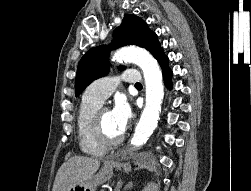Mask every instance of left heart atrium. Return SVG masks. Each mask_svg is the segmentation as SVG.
Wrapping results in <instances>:
<instances>
[{
  "mask_svg": "<svg viewBox=\"0 0 251 191\" xmlns=\"http://www.w3.org/2000/svg\"><path fill=\"white\" fill-rule=\"evenodd\" d=\"M113 128L119 133H123L131 117L130 106L122 100L115 103L109 111Z\"/></svg>",
  "mask_w": 251,
  "mask_h": 191,
  "instance_id": "left-heart-atrium-1",
  "label": "left heart atrium"
}]
</instances>
